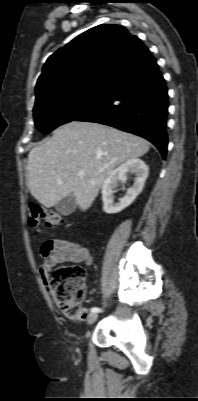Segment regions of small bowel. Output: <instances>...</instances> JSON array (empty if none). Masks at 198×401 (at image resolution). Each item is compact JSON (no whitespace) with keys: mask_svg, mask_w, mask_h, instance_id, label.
Segmentation results:
<instances>
[{"mask_svg":"<svg viewBox=\"0 0 198 401\" xmlns=\"http://www.w3.org/2000/svg\"><path fill=\"white\" fill-rule=\"evenodd\" d=\"M39 254L42 258L39 274L44 282H48L50 270L58 263L83 262L86 265L92 263V254L87 247L56 235L41 245Z\"/></svg>","mask_w":198,"mask_h":401,"instance_id":"small-bowel-1","label":"small bowel"}]
</instances>
